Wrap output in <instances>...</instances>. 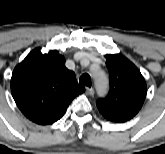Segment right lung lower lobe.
<instances>
[{
    "label": "right lung lower lobe",
    "mask_w": 165,
    "mask_h": 154,
    "mask_svg": "<svg viewBox=\"0 0 165 154\" xmlns=\"http://www.w3.org/2000/svg\"><path fill=\"white\" fill-rule=\"evenodd\" d=\"M69 104L62 106L61 108L50 112L48 114H45L43 116H40L38 118H35L34 120H32L35 123L41 124V125H47V124H51L53 122H56L57 120H59L65 113L67 107Z\"/></svg>",
    "instance_id": "1"
}]
</instances>
